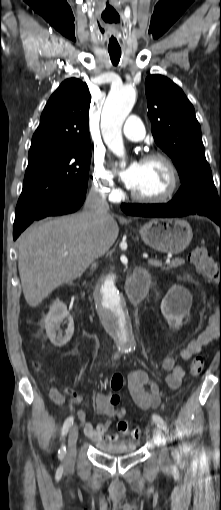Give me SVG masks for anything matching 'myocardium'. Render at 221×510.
<instances>
[{"instance_id":"myocardium-1","label":"myocardium","mask_w":221,"mask_h":510,"mask_svg":"<svg viewBox=\"0 0 221 510\" xmlns=\"http://www.w3.org/2000/svg\"><path fill=\"white\" fill-rule=\"evenodd\" d=\"M154 160L161 161L167 168L168 173H169V185L164 193L157 195V196H143V195H139V194L135 193L134 191H131L130 197L136 202L144 203V204L164 203V202L170 200L175 195V193L178 189V184H179L178 171H177L175 164L171 160V158L164 153L152 152V153L147 154L143 158L142 162H148V161H154Z\"/></svg>"}]
</instances>
